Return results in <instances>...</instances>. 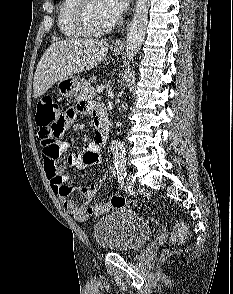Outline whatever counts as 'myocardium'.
<instances>
[{
	"label": "myocardium",
	"mask_w": 233,
	"mask_h": 294,
	"mask_svg": "<svg viewBox=\"0 0 233 294\" xmlns=\"http://www.w3.org/2000/svg\"><path fill=\"white\" fill-rule=\"evenodd\" d=\"M90 3L91 0H79L77 4L75 18L80 28L90 36H101L110 32L116 26L117 21L104 27H96L91 21Z\"/></svg>",
	"instance_id": "1"
}]
</instances>
